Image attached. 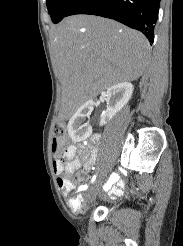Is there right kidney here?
I'll return each mask as SVG.
<instances>
[{
  "mask_svg": "<svg viewBox=\"0 0 183 246\" xmlns=\"http://www.w3.org/2000/svg\"><path fill=\"white\" fill-rule=\"evenodd\" d=\"M133 93V85L129 82H122L109 87L105 94L107 109L100 121V126L111 120L129 101ZM95 105L89 100L81 105L68 123V133L74 141H81L90 134L88 123H84L85 117L89 115Z\"/></svg>",
  "mask_w": 183,
  "mask_h": 246,
  "instance_id": "ca27d5eb",
  "label": "right kidney"
}]
</instances>
